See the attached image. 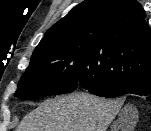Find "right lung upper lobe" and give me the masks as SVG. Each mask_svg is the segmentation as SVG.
Instances as JSON below:
<instances>
[{
	"label": "right lung upper lobe",
	"instance_id": "right-lung-upper-lobe-1",
	"mask_svg": "<svg viewBox=\"0 0 151 131\" xmlns=\"http://www.w3.org/2000/svg\"><path fill=\"white\" fill-rule=\"evenodd\" d=\"M73 42L107 83L151 81V30L136 0H85L54 24L36 48Z\"/></svg>",
	"mask_w": 151,
	"mask_h": 131
}]
</instances>
